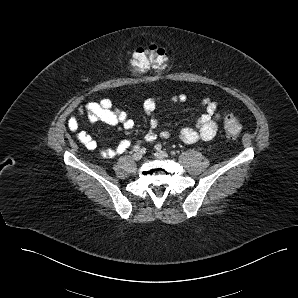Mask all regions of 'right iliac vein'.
<instances>
[{
	"mask_svg": "<svg viewBox=\"0 0 298 298\" xmlns=\"http://www.w3.org/2000/svg\"><path fill=\"white\" fill-rule=\"evenodd\" d=\"M132 157L135 161H139L142 158V153L141 152H135Z\"/></svg>",
	"mask_w": 298,
	"mask_h": 298,
	"instance_id": "63e3f726",
	"label": "right iliac vein"
}]
</instances>
